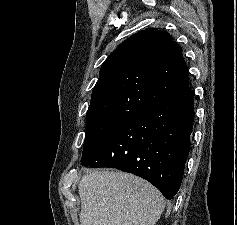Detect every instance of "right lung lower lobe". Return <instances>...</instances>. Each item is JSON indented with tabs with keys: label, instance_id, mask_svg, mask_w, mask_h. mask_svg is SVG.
Segmentation results:
<instances>
[{
	"label": "right lung lower lobe",
	"instance_id": "right-lung-lower-lobe-1",
	"mask_svg": "<svg viewBox=\"0 0 237 225\" xmlns=\"http://www.w3.org/2000/svg\"><path fill=\"white\" fill-rule=\"evenodd\" d=\"M194 122V92L184 91L129 119L81 159L140 176L167 199L180 188Z\"/></svg>",
	"mask_w": 237,
	"mask_h": 225
}]
</instances>
